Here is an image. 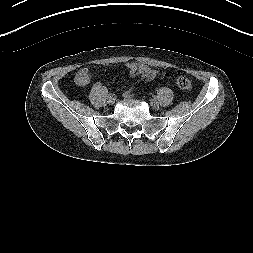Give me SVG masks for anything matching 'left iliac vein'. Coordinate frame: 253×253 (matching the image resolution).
I'll return each mask as SVG.
<instances>
[{
	"instance_id": "1",
	"label": "left iliac vein",
	"mask_w": 253,
	"mask_h": 253,
	"mask_svg": "<svg viewBox=\"0 0 253 253\" xmlns=\"http://www.w3.org/2000/svg\"><path fill=\"white\" fill-rule=\"evenodd\" d=\"M151 104H152V106H153L154 108H158V107H159L158 102H157L156 100H154V99L151 100Z\"/></svg>"
}]
</instances>
